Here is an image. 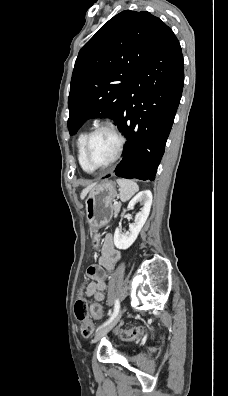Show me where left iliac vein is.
Returning <instances> with one entry per match:
<instances>
[{"mask_svg":"<svg viewBox=\"0 0 228 396\" xmlns=\"http://www.w3.org/2000/svg\"><path fill=\"white\" fill-rule=\"evenodd\" d=\"M123 312H124V308H122V309L118 312V314L116 315V317H115L109 324H107L106 326H104V327H102L101 329H99V330L96 332V334H95V336H94L92 342H93V343L98 342L104 335H106L110 330H112V329L117 325V323L120 321Z\"/></svg>","mask_w":228,"mask_h":396,"instance_id":"1","label":"left iliac vein"}]
</instances>
